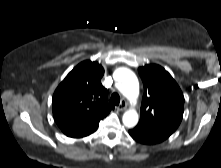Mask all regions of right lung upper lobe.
<instances>
[{"label":"right lung upper lobe","mask_w":221,"mask_h":168,"mask_svg":"<svg viewBox=\"0 0 221 168\" xmlns=\"http://www.w3.org/2000/svg\"><path fill=\"white\" fill-rule=\"evenodd\" d=\"M104 74L98 62L78 64L54 92V119L62 132L72 138L85 137L98 128L99 121L114 109L101 84Z\"/></svg>","instance_id":"obj_1"}]
</instances>
